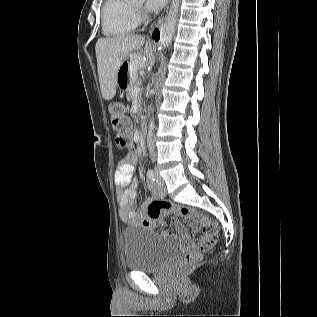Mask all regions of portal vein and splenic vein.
<instances>
[{"mask_svg": "<svg viewBox=\"0 0 317 317\" xmlns=\"http://www.w3.org/2000/svg\"><path fill=\"white\" fill-rule=\"evenodd\" d=\"M140 91H141V88L140 87H135L134 89H133V95H138L139 93H140Z\"/></svg>", "mask_w": 317, "mask_h": 317, "instance_id": "obj_1", "label": "portal vein and splenic vein"}]
</instances>
